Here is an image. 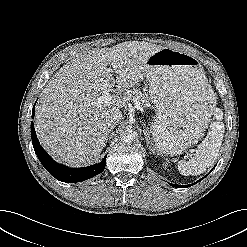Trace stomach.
Wrapping results in <instances>:
<instances>
[{"label":"stomach","instance_id":"obj_1","mask_svg":"<svg viewBox=\"0 0 247 247\" xmlns=\"http://www.w3.org/2000/svg\"><path fill=\"white\" fill-rule=\"evenodd\" d=\"M156 115L151 129L160 153L181 154L204 133L215 96L197 58L162 48L144 65Z\"/></svg>","mask_w":247,"mask_h":247}]
</instances>
